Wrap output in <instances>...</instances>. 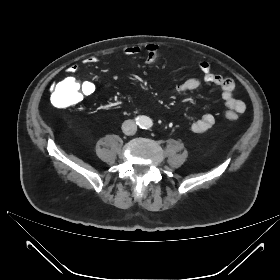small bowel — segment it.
<instances>
[{
	"label": "small bowel",
	"mask_w": 280,
	"mask_h": 280,
	"mask_svg": "<svg viewBox=\"0 0 280 280\" xmlns=\"http://www.w3.org/2000/svg\"><path fill=\"white\" fill-rule=\"evenodd\" d=\"M146 54V63L153 64L158 58V46L154 44L147 45L144 50L138 46H128L124 49V54L127 56H138L142 52ZM99 61L98 57L92 56L87 58V64H94ZM200 70L202 71L201 77H195L187 79L176 86V92L178 94H184L189 91L198 89L202 84L206 83L209 85L217 86L222 91V99L225 106L227 107V112L225 113L226 118L230 114L238 116L245 111V103L234 97V81L231 78L224 77L220 74L214 73L211 66L206 61H201L199 63ZM79 70L77 64H72L68 68V72L75 74ZM102 75L106 76V70L102 71ZM104 84L109 86L111 82L105 77ZM81 88V98L84 96H90L96 91V84L93 81H83L80 85ZM215 123V118L211 114H204L199 119L194 121L191 125V130L194 133H202L210 129Z\"/></svg>",
	"instance_id": "small-bowel-1"
}]
</instances>
